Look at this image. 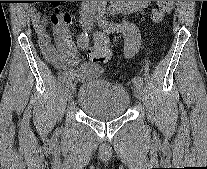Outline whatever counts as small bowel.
<instances>
[{
    "label": "small bowel",
    "mask_w": 207,
    "mask_h": 169,
    "mask_svg": "<svg viewBox=\"0 0 207 169\" xmlns=\"http://www.w3.org/2000/svg\"><path fill=\"white\" fill-rule=\"evenodd\" d=\"M71 2V1H70ZM150 1H118L114 10H136L145 7ZM38 44L45 59L66 70L73 78L89 79L100 73L101 67L94 62H81L73 44L70 26L72 17L56 9L50 19L42 16L37 10L29 12ZM49 22L52 24V36L47 31ZM76 67V69H74Z\"/></svg>",
    "instance_id": "small-bowel-1"
}]
</instances>
